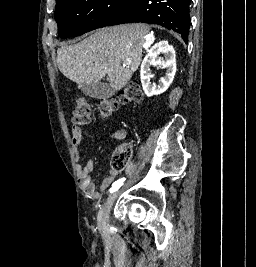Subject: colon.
<instances>
[{
	"label": "colon",
	"instance_id": "1",
	"mask_svg": "<svg viewBox=\"0 0 256 267\" xmlns=\"http://www.w3.org/2000/svg\"><path fill=\"white\" fill-rule=\"evenodd\" d=\"M142 98L140 87L132 82L119 92L118 99L108 98L99 102L98 111L101 117H111L121 106L138 103ZM92 105L88 99H78L73 109V122L78 127H84L89 123ZM131 155L128 144L119 145L112 155L111 163L117 170L123 169Z\"/></svg>",
	"mask_w": 256,
	"mask_h": 267
}]
</instances>
